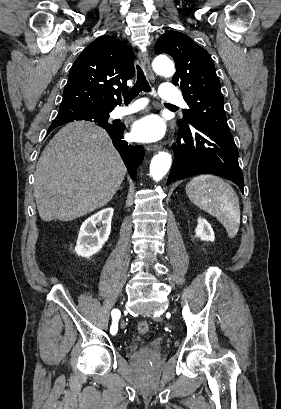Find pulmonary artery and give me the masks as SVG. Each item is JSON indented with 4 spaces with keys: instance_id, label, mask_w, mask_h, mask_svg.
<instances>
[{
    "instance_id": "obj_1",
    "label": "pulmonary artery",
    "mask_w": 281,
    "mask_h": 409,
    "mask_svg": "<svg viewBox=\"0 0 281 409\" xmlns=\"http://www.w3.org/2000/svg\"><path fill=\"white\" fill-rule=\"evenodd\" d=\"M160 93L164 98L165 103H181L183 101V96L179 94L178 87L176 81H165L163 86L160 88ZM144 102L149 100L147 95L142 97ZM183 105L186 106V103L183 102ZM125 108H115L112 113L111 117L114 119H121L125 116L135 112L138 109V105L136 103H127Z\"/></svg>"
}]
</instances>
